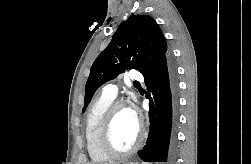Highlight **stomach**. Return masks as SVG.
<instances>
[{
	"instance_id": "1",
	"label": "stomach",
	"mask_w": 251,
	"mask_h": 164,
	"mask_svg": "<svg viewBox=\"0 0 251 164\" xmlns=\"http://www.w3.org/2000/svg\"><path fill=\"white\" fill-rule=\"evenodd\" d=\"M124 164H138L137 162H129V163H124Z\"/></svg>"
}]
</instances>
